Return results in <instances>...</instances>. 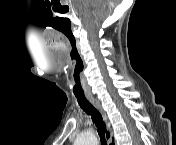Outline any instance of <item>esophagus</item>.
Masks as SVG:
<instances>
[{
	"label": "esophagus",
	"mask_w": 176,
	"mask_h": 145,
	"mask_svg": "<svg viewBox=\"0 0 176 145\" xmlns=\"http://www.w3.org/2000/svg\"><path fill=\"white\" fill-rule=\"evenodd\" d=\"M87 98L95 106V108L101 113V115H102L104 121L106 122L107 126H109L108 121H107V115H106L104 109L102 108L100 102L98 100H96L95 98H93L92 96H90V95H88Z\"/></svg>",
	"instance_id": "obj_1"
}]
</instances>
